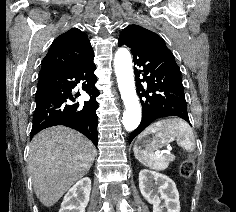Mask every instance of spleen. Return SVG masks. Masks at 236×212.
Returning <instances> with one entry per match:
<instances>
[{"label": "spleen", "instance_id": "3e777b00", "mask_svg": "<svg viewBox=\"0 0 236 212\" xmlns=\"http://www.w3.org/2000/svg\"><path fill=\"white\" fill-rule=\"evenodd\" d=\"M148 134H155L153 141L144 150H140L135 145L134 155L141 164L157 171L165 170L169 165L167 156L159 150L164 145L176 140L177 144L186 151L192 152L195 149L193 130L186 121L180 118L156 121L149 125L138 139Z\"/></svg>", "mask_w": 236, "mask_h": 212}]
</instances>
